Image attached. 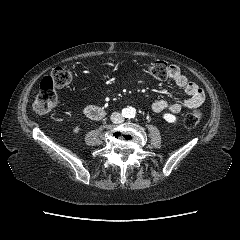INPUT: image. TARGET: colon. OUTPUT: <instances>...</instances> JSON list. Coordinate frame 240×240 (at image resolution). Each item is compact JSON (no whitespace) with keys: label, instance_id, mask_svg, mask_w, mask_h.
Returning a JSON list of instances; mask_svg holds the SVG:
<instances>
[{"label":"colon","instance_id":"1","mask_svg":"<svg viewBox=\"0 0 240 240\" xmlns=\"http://www.w3.org/2000/svg\"><path fill=\"white\" fill-rule=\"evenodd\" d=\"M149 74L158 80L169 76V65L164 61H155L148 66ZM73 72L64 66L54 68L40 83L39 92L33 102V110L38 114L50 112L57 105V90L71 83ZM202 118L200 111L189 112L184 117V125L188 128L196 126Z\"/></svg>","mask_w":240,"mask_h":240}]
</instances>
